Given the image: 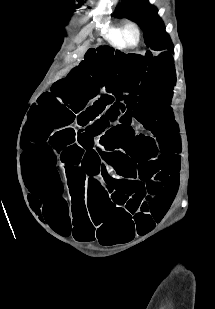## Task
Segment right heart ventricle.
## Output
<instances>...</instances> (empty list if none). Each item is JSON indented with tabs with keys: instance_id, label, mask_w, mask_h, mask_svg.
<instances>
[{
	"instance_id": "1",
	"label": "right heart ventricle",
	"mask_w": 215,
	"mask_h": 309,
	"mask_svg": "<svg viewBox=\"0 0 215 309\" xmlns=\"http://www.w3.org/2000/svg\"><path fill=\"white\" fill-rule=\"evenodd\" d=\"M105 32L103 34L104 38L107 40V42L117 48H123L118 27L114 25V23H105L104 25Z\"/></svg>"
}]
</instances>
